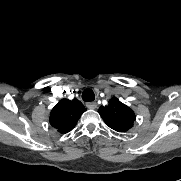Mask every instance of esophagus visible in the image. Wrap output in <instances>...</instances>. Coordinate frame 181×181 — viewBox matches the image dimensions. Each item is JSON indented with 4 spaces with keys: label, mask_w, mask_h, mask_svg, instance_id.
Instances as JSON below:
<instances>
[{
    "label": "esophagus",
    "mask_w": 181,
    "mask_h": 181,
    "mask_svg": "<svg viewBox=\"0 0 181 181\" xmlns=\"http://www.w3.org/2000/svg\"><path fill=\"white\" fill-rule=\"evenodd\" d=\"M86 107L89 109H96L97 103L96 102H88V103H86Z\"/></svg>",
    "instance_id": "1"
}]
</instances>
